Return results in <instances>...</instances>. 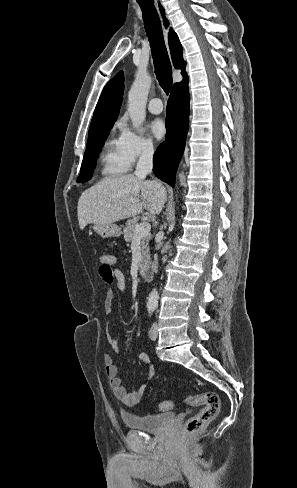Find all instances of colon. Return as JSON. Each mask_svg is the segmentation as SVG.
I'll list each match as a JSON object with an SVG mask.
<instances>
[{
	"instance_id": "obj_1",
	"label": "colon",
	"mask_w": 297,
	"mask_h": 488,
	"mask_svg": "<svg viewBox=\"0 0 297 488\" xmlns=\"http://www.w3.org/2000/svg\"><path fill=\"white\" fill-rule=\"evenodd\" d=\"M111 257L104 254L100 257L99 275L106 283L112 281V267L110 266ZM185 403L191 406H202V409L189 418L184 427L186 434H193L204 429L213 421L220 410V400L217 393L208 391L194 396H187ZM159 410L168 411L173 408L171 401H166L158 405Z\"/></svg>"
}]
</instances>
